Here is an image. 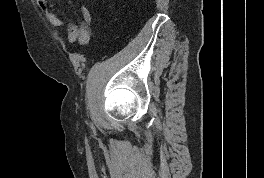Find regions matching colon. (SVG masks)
Returning a JSON list of instances; mask_svg holds the SVG:
<instances>
[{
    "label": "colon",
    "instance_id": "colon-1",
    "mask_svg": "<svg viewBox=\"0 0 264 178\" xmlns=\"http://www.w3.org/2000/svg\"><path fill=\"white\" fill-rule=\"evenodd\" d=\"M80 13L81 22L79 28L69 33V42L85 45L90 39L92 16L90 9L86 5H81Z\"/></svg>",
    "mask_w": 264,
    "mask_h": 178
}]
</instances>
